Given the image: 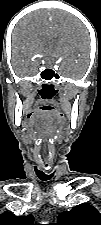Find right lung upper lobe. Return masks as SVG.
<instances>
[{
	"label": "right lung upper lobe",
	"mask_w": 101,
	"mask_h": 225,
	"mask_svg": "<svg viewBox=\"0 0 101 225\" xmlns=\"http://www.w3.org/2000/svg\"><path fill=\"white\" fill-rule=\"evenodd\" d=\"M32 215L17 217L11 212H5L0 215V225H35Z\"/></svg>",
	"instance_id": "cb5924a9"
}]
</instances>
